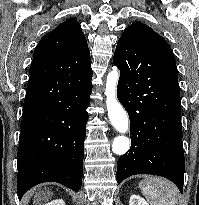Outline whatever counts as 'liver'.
<instances>
[{"instance_id":"liver-1","label":"liver","mask_w":199,"mask_h":205,"mask_svg":"<svg viewBox=\"0 0 199 205\" xmlns=\"http://www.w3.org/2000/svg\"><path fill=\"white\" fill-rule=\"evenodd\" d=\"M36 197L39 198L40 195H38V196H36ZM49 197H51V193H49ZM49 197H48V198H49ZM46 199H47V198H46ZM37 202H38V201L36 200L35 203H37Z\"/></svg>"}]
</instances>
